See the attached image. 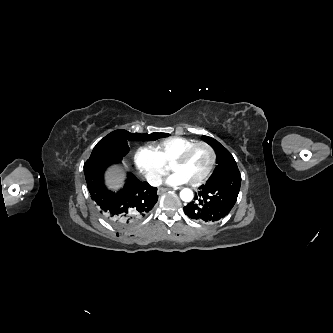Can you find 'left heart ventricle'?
Listing matches in <instances>:
<instances>
[{
  "instance_id": "b2bd125f",
  "label": "left heart ventricle",
  "mask_w": 333,
  "mask_h": 333,
  "mask_svg": "<svg viewBox=\"0 0 333 333\" xmlns=\"http://www.w3.org/2000/svg\"><path fill=\"white\" fill-rule=\"evenodd\" d=\"M210 161V152L204 147H197L189 154L185 162L172 166V169L174 172L182 173L191 182L206 172Z\"/></svg>"
}]
</instances>
